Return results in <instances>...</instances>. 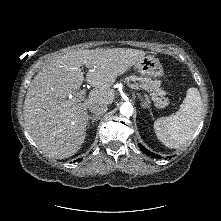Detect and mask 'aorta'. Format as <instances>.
<instances>
[{"label":"aorta","instance_id":"1","mask_svg":"<svg viewBox=\"0 0 221 221\" xmlns=\"http://www.w3.org/2000/svg\"><path fill=\"white\" fill-rule=\"evenodd\" d=\"M120 113L123 116L130 117L133 113V106L130 103H127V102L122 104V106L120 108Z\"/></svg>","mask_w":221,"mask_h":221}]
</instances>
